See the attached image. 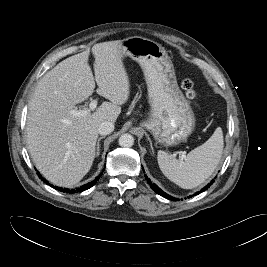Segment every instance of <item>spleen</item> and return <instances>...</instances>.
Returning a JSON list of instances; mask_svg holds the SVG:
<instances>
[{"instance_id": "3e777b00", "label": "spleen", "mask_w": 267, "mask_h": 267, "mask_svg": "<svg viewBox=\"0 0 267 267\" xmlns=\"http://www.w3.org/2000/svg\"><path fill=\"white\" fill-rule=\"evenodd\" d=\"M224 147L223 132L216 128L201 146L190 151L184 160L159 150L157 161L162 173L176 185L192 189L202 184L215 171Z\"/></svg>"}]
</instances>
